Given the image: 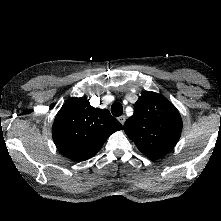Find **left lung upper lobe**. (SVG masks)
I'll return each mask as SVG.
<instances>
[{"instance_id": "5c2ea615", "label": "left lung upper lobe", "mask_w": 221, "mask_h": 221, "mask_svg": "<svg viewBox=\"0 0 221 221\" xmlns=\"http://www.w3.org/2000/svg\"><path fill=\"white\" fill-rule=\"evenodd\" d=\"M124 131L144 155L157 158L175 147L182 119L164 96L147 92L135 103L134 114L125 121Z\"/></svg>"}]
</instances>
